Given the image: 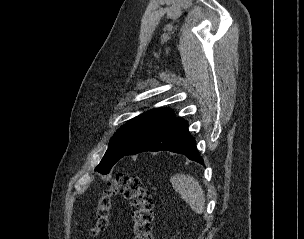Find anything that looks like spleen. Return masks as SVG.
<instances>
[{
  "instance_id": "1",
  "label": "spleen",
  "mask_w": 304,
  "mask_h": 239,
  "mask_svg": "<svg viewBox=\"0 0 304 239\" xmlns=\"http://www.w3.org/2000/svg\"><path fill=\"white\" fill-rule=\"evenodd\" d=\"M172 186L181 198L197 214H202L205 208V195L199 182L190 175L177 174L170 179Z\"/></svg>"
}]
</instances>
